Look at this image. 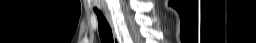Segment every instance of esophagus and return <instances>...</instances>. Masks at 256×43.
I'll use <instances>...</instances> for the list:
<instances>
[{
	"label": "esophagus",
	"mask_w": 256,
	"mask_h": 43,
	"mask_svg": "<svg viewBox=\"0 0 256 43\" xmlns=\"http://www.w3.org/2000/svg\"><path fill=\"white\" fill-rule=\"evenodd\" d=\"M105 12H106V17H107V19L109 21V24L111 25V28L113 29L114 28L113 21L111 20V17L109 15L108 11H105ZM113 36H114V43H119L115 33L113 34Z\"/></svg>",
	"instance_id": "34e87169"
}]
</instances>
